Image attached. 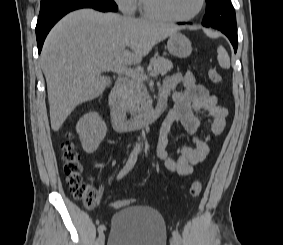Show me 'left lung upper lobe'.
<instances>
[{
    "mask_svg": "<svg viewBox=\"0 0 283 245\" xmlns=\"http://www.w3.org/2000/svg\"><path fill=\"white\" fill-rule=\"evenodd\" d=\"M202 24L237 33L236 15L230 0H206V14Z\"/></svg>",
    "mask_w": 283,
    "mask_h": 245,
    "instance_id": "obj_1",
    "label": "left lung upper lobe"
}]
</instances>
